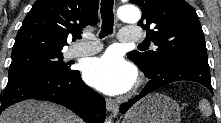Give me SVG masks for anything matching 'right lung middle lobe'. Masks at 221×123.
Instances as JSON below:
<instances>
[{"mask_svg":"<svg viewBox=\"0 0 221 123\" xmlns=\"http://www.w3.org/2000/svg\"><path fill=\"white\" fill-rule=\"evenodd\" d=\"M62 59L61 51L27 50L12 53L9 76L33 70L59 74L71 72L70 67Z\"/></svg>","mask_w":221,"mask_h":123,"instance_id":"1","label":"right lung middle lobe"}]
</instances>
